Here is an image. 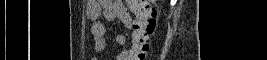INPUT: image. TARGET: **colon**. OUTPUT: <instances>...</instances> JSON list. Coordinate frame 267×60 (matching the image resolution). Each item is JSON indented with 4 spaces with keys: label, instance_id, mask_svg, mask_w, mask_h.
Listing matches in <instances>:
<instances>
[{
    "label": "colon",
    "instance_id": "obj_1",
    "mask_svg": "<svg viewBox=\"0 0 267 60\" xmlns=\"http://www.w3.org/2000/svg\"><path fill=\"white\" fill-rule=\"evenodd\" d=\"M150 0H129L132 12L135 39L132 41V60H145L150 51V37L157 21L156 11Z\"/></svg>",
    "mask_w": 267,
    "mask_h": 60
}]
</instances>
